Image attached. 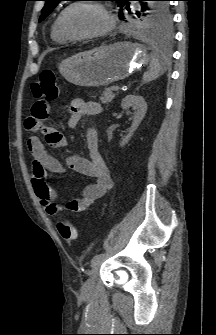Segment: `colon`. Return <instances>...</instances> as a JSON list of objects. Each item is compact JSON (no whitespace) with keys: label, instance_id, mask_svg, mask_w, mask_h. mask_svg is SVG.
<instances>
[{"label":"colon","instance_id":"colon-1","mask_svg":"<svg viewBox=\"0 0 216 335\" xmlns=\"http://www.w3.org/2000/svg\"><path fill=\"white\" fill-rule=\"evenodd\" d=\"M31 90L36 98H46L48 100L47 104L51 106V103L57 99L59 94L56 74L51 70L42 71L38 79L32 83ZM57 230L67 242H74L79 237L78 228L68 219L59 221Z\"/></svg>","mask_w":216,"mask_h":335}]
</instances>
